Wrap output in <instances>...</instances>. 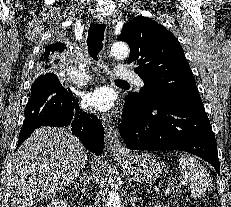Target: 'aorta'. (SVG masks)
Listing matches in <instances>:
<instances>
[{"label":"aorta","instance_id":"aorta-1","mask_svg":"<svg viewBox=\"0 0 231 207\" xmlns=\"http://www.w3.org/2000/svg\"><path fill=\"white\" fill-rule=\"evenodd\" d=\"M109 53L114 58L124 59L129 56L130 50L126 43L116 42L111 46ZM105 207H122L120 195L116 190L108 192Z\"/></svg>","mask_w":231,"mask_h":207}]
</instances>
